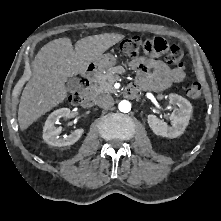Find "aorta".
I'll use <instances>...</instances> for the list:
<instances>
[{
  "label": "aorta",
  "mask_w": 221,
  "mask_h": 221,
  "mask_svg": "<svg viewBox=\"0 0 221 221\" xmlns=\"http://www.w3.org/2000/svg\"><path fill=\"white\" fill-rule=\"evenodd\" d=\"M118 108L121 112L127 113L131 110V103L127 100H122L118 104Z\"/></svg>",
  "instance_id": "762f6f07"
}]
</instances>
